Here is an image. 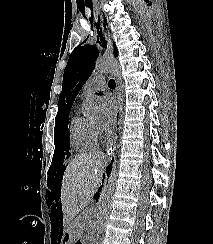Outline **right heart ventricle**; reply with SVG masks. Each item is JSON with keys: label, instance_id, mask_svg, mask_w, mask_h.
Wrapping results in <instances>:
<instances>
[{"label": "right heart ventricle", "instance_id": "1", "mask_svg": "<svg viewBox=\"0 0 213 244\" xmlns=\"http://www.w3.org/2000/svg\"><path fill=\"white\" fill-rule=\"evenodd\" d=\"M70 144L75 151H89L98 146L99 133L96 124L76 113L69 123Z\"/></svg>", "mask_w": 213, "mask_h": 244}]
</instances>
